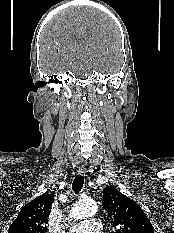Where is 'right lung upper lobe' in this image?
Wrapping results in <instances>:
<instances>
[{"label": "right lung upper lobe", "instance_id": "right-lung-upper-lobe-1", "mask_svg": "<svg viewBox=\"0 0 174 233\" xmlns=\"http://www.w3.org/2000/svg\"><path fill=\"white\" fill-rule=\"evenodd\" d=\"M53 201L52 194L44 193L26 204L11 224L8 233H46Z\"/></svg>", "mask_w": 174, "mask_h": 233}]
</instances>
